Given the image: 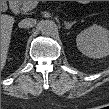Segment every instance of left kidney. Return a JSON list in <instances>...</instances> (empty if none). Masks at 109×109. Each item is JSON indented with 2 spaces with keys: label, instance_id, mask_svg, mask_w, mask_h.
<instances>
[{
  "label": "left kidney",
  "instance_id": "5707ae66",
  "mask_svg": "<svg viewBox=\"0 0 109 109\" xmlns=\"http://www.w3.org/2000/svg\"><path fill=\"white\" fill-rule=\"evenodd\" d=\"M79 51L90 58H102L109 54V32L99 25H92L76 38Z\"/></svg>",
  "mask_w": 109,
  "mask_h": 109
}]
</instances>
